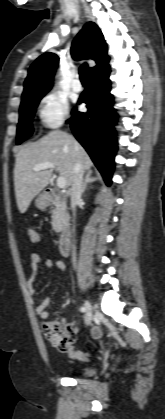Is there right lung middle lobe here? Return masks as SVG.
Masks as SVG:
<instances>
[{"label":"right lung middle lobe","instance_id":"obj_1","mask_svg":"<svg viewBox=\"0 0 165 419\" xmlns=\"http://www.w3.org/2000/svg\"><path fill=\"white\" fill-rule=\"evenodd\" d=\"M45 93L34 95L21 102L20 117L17 128V145L21 144L33 133L32 119L36 111V107Z\"/></svg>","mask_w":165,"mask_h":419}]
</instances>
